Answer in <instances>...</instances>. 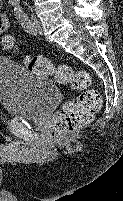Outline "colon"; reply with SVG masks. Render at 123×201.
I'll return each mask as SVG.
<instances>
[{"label": "colon", "mask_w": 123, "mask_h": 201, "mask_svg": "<svg viewBox=\"0 0 123 201\" xmlns=\"http://www.w3.org/2000/svg\"><path fill=\"white\" fill-rule=\"evenodd\" d=\"M5 50L18 52L19 48L11 36L2 41ZM28 69L42 76H52L57 82L70 85L80 92L79 96L65 103L56 116L52 136L60 139L68 133L77 131L88 125L102 104L100 93L90 87L91 78L85 70H72L65 65L56 66L49 59L32 55L26 59Z\"/></svg>", "instance_id": "1"}]
</instances>
